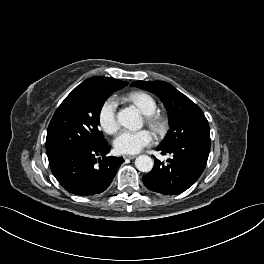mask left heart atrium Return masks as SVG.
Wrapping results in <instances>:
<instances>
[{"label":"left heart atrium","mask_w":264,"mask_h":264,"mask_svg":"<svg viewBox=\"0 0 264 264\" xmlns=\"http://www.w3.org/2000/svg\"><path fill=\"white\" fill-rule=\"evenodd\" d=\"M153 134L146 129L124 130L114 140V148L120 154H136L153 143Z\"/></svg>","instance_id":"39dd6f15"}]
</instances>
